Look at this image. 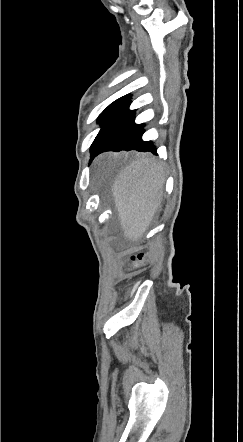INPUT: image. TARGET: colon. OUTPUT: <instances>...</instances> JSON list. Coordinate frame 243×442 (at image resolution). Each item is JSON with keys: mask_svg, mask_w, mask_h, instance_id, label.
<instances>
[{"mask_svg": "<svg viewBox=\"0 0 243 442\" xmlns=\"http://www.w3.org/2000/svg\"><path fill=\"white\" fill-rule=\"evenodd\" d=\"M127 264L125 268L127 270H132V272H139V270L144 266V268H148L149 262L152 260V257L148 254H130L127 257Z\"/></svg>", "mask_w": 243, "mask_h": 442, "instance_id": "1", "label": "colon"}]
</instances>
